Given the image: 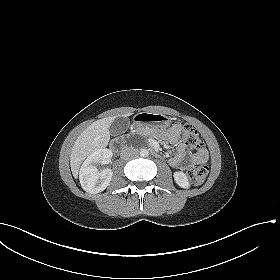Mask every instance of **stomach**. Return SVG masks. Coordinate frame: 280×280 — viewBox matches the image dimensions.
I'll use <instances>...</instances> for the list:
<instances>
[{"label":"stomach","mask_w":280,"mask_h":280,"mask_svg":"<svg viewBox=\"0 0 280 280\" xmlns=\"http://www.w3.org/2000/svg\"><path fill=\"white\" fill-rule=\"evenodd\" d=\"M136 123L150 124L159 129H166L170 125V119L162 114L142 112L135 116Z\"/></svg>","instance_id":"1"}]
</instances>
